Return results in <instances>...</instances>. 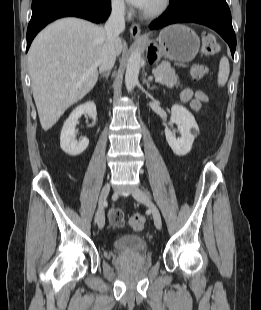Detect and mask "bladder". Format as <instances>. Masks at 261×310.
<instances>
[{"label":"bladder","instance_id":"31cf9c89","mask_svg":"<svg viewBox=\"0 0 261 310\" xmlns=\"http://www.w3.org/2000/svg\"><path fill=\"white\" fill-rule=\"evenodd\" d=\"M113 249L120 254H142L148 251V242L140 235H123L113 243Z\"/></svg>","mask_w":261,"mask_h":310}]
</instances>
